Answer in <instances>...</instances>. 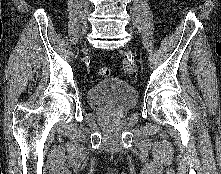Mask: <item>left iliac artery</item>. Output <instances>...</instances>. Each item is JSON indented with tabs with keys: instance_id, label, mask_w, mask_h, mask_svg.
<instances>
[{
	"instance_id": "left-iliac-artery-1",
	"label": "left iliac artery",
	"mask_w": 221,
	"mask_h": 174,
	"mask_svg": "<svg viewBox=\"0 0 221 174\" xmlns=\"http://www.w3.org/2000/svg\"><path fill=\"white\" fill-rule=\"evenodd\" d=\"M123 64V69L126 73L131 74L133 73V67L131 65V60L130 59H123L122 61Z\"/></svg>"
}]
</instances>
